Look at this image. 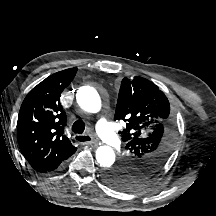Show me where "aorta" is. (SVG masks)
Wrapping results in <instances>:
<instances>
[{"label":"aorta","instance_id":"762f6f07","mask_svg":"<svg viewBox=\"0 0 216 216\" xmlns=\"http://www.w3.org/2000/svg\"><path fill=\"white\" fill-rule=\"evenodd\" d=\"M76 100L78 105L87 112L97 113L101 109L100 96L92 87L83 86L79 88ZM96 160L102 168H110L115 162V153L109 146H100L96 150Z\"/></svg>","mask_w":216,"mask_h":216}]
</instances>
